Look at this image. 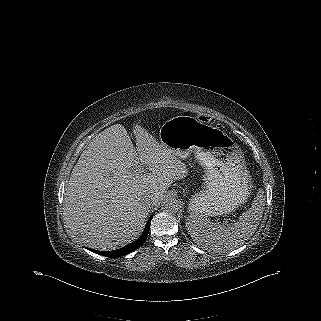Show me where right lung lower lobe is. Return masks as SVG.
<instances>
[{"label": "right lung lower lobe", "instance_id": "1", "mask_svg": "<svg viewBox=\"0 0 321 321\" xmlns=\"http://www.w3.org/2000/svg\"><path fill=\"white\" fill-rule=\"evenodd\" d=\"M151 219L147 222L142 235L137 240L130 243L129 245H127L121 249L108 251V252L97 251V250H93V249H89V250L94 253H97L99 255L106 256V257H120V256L127 255V254L135 251L136 249L140 248L143 245V243L146 241L148 233H149V229H150Z\"/></svg>", "mask_w": 321, "mask_h": 321}]
</instances>
